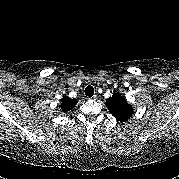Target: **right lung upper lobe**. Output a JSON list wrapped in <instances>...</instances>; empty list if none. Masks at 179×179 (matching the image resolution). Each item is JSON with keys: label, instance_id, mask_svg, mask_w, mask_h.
<instances>
[{"label": "right lung upper lobe", "instance_id": "obj_1", "mask_svg": "<svg viewBox=\"0 0 179 179\" xmlns=\"http://www.w3.org/2000/svg\"><path fill=\"white\" fill-rule=\"evenodd\" d=\"M77 102H78L77 99H70L68 97H64L62 99L60 107L63 112H68L69 110L74 108V106L77 104Z\"/></svg>", "mask_w": 179, "mask_h": 179}]
</instances>
